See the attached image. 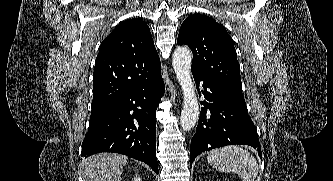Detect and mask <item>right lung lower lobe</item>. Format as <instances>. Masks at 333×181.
<instances>
[{
  "instance_id": "obj_1",
  "label": "right lung lower lobe",
  "mask_w": 333,
  "mask_h": 181,
  "mask_svg": "<svg viewBox=\"0 0 333 181\" xmlns=\"http://www.w3.org/2000/svg\"><path fill=\"white\" fill-rule=\"evenodd\" d=\"M164 88L161 77L92 110L81 155L86 158L98 152L125 154L158 173L155 114Z\"/></svg>"
}]
</instances>
